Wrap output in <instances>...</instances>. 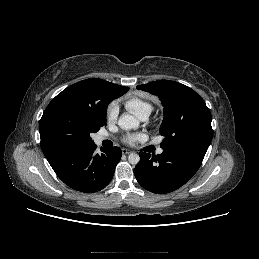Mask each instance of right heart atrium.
Returning a JSON list of instances; mask_svg holds the SVG:
<instances>
[{
	"instance_id": "d8ad5b80",
	"label": "right heart atrium",
	"mask_w": 259,
	"mask_h": 259,
	"mask_svg": "<svg viewBox=\"0 0 259 259\" xmlns=\"http://www.w3.org/2000/svg\"><path fill=\"white\" fill-rule=\"evenodd\" d=\"M118 113V106L116 102H111L107 107V119L113 121L116 119Z\"/></svg>"
}]
</instances>
